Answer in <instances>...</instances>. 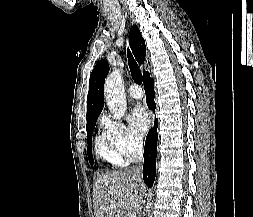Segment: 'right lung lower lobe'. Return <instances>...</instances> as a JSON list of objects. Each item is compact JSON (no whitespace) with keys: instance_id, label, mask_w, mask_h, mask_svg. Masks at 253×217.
I'll return each instance as SVG.
<instances>
[{"instance_id":"98d812e1","label":"right lung lower lobe","mask_w":253,"mask_h":217,"mask_svg":"<svg viewBox=\"0 0 253 217\" xmlns=\"http://www.w3.org/2000/svg\"><path fill=\"white\" fill-rule=\"evenodd\" d=\"M144 88L146 93V102L150 109L155 110V92L153 89V79L149 74L144 76ZM157 120L155 125L151 129L146 137L144 147V166H143V180L149 186L152 187L156 174V154H157Z\"/></svg>"}]
</instances>
